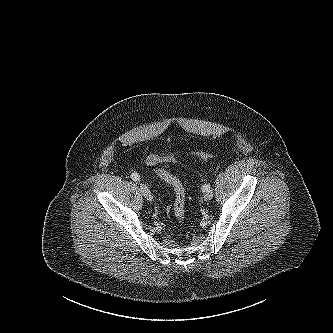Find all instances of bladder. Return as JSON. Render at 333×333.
<instances>
[{"mask_svg": "<svg viewBox=\"0 0 333 333\" xmlns=\"http://www.w3.org/2000/svg\"><path fill=\"white\" fill-rule=\"evenodd\" d=\"M170 158L169 155H162V154H158V153H152L150 154L147 159H146V163L148 166L150 167H154L158 164H160L161 162L168 160Z\"/></svg>", "mask_w": 333, "mask_h": 333, "instance_id": "1", "label": "bladder"}]
</instances>
